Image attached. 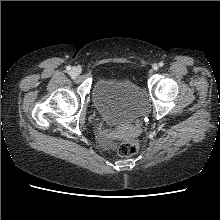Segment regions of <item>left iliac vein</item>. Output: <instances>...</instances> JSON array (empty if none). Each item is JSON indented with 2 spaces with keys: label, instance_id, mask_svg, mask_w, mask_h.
I'll use <instances>...</instances> for the list:
<instances>
[{
  "label": "left iliac vein",
  "instance_id": "obj_1",
  "mask_svg": "<svg viewBox=\"0 0 220 220\" xmlns=\"http://www.w3.org/2000/svg\"><path fill=\"white\" fill-rule=\"evenodd\" d=\"M152 68H153L154 71H157L158 68H159V66H158L157 64H153V67H152Z\"/></svg>",
  "mask_w": 220,
  "mask_h": 220
}]
</instances>
